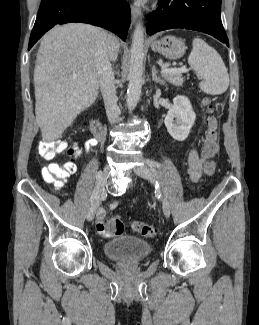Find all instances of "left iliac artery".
<instances>
[{
    "label": "left iliac artery",
    "instance_id": "44dca946",
    "mask_svg": "<svg viewBox=\"0 0 259 325\" xmlns=\"http://www.w3.org/2000/svg\"><path fill=\"white\" fill-rule=\"evenodd\" d=\"M148 160H150V159H148ZM151 161H152V164H155V165H156V168H158V167L161 166L159 163L155 162L154 160H151ZM157 185H158V184H157Z\"/></svg>",
    "mask_w": 259,
    "mask_h": 325
}]
</instances>
